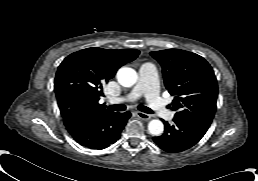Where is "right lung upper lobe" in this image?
I'll use <instances>...</instances> for the list:
<instances>
[{
    "label": "right lung upper lobe",
    "instance_id": "obj_1",
    "mask_svg": "<svg viewBox=\"0 0 258 181\" xmlns=\"http://www.w3.org/2000/svg\"><path fill=\"white\" fill-rule=\"evenodd\" d=\"M139 53L136 49L87 48L66 57L58 67L54 84L63 119L84 112H113L99 103L103 85Z\"/></svg>",
    "mask_w": 258,
    "mask_h": 181
}]
</instances>
